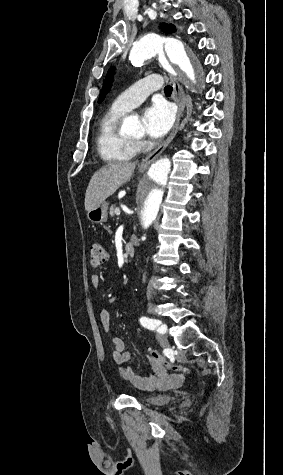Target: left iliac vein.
I'll list each match as a JSON object with an SVG mask.
<instances>
[{
    "label": "left iliac vein",
    "instance_id": "4c4485c4",
    "mask_svg": "<svg viewBox=\"0 0 283 475\" xmlns=\"http://www.w3.org/2000/svg\"><path fill=\"white\" fill-rule=\"evenodd\" d=\"M161 326H164L165 329L167 330V326L165 324L161 325ZM156 339L157 341L161 344V345H168V341H167V338L163 335V334H158L156 336Z\"/></svg>",
    "mask_w": 283,
    "mask_h": 475
}]
</instances>
